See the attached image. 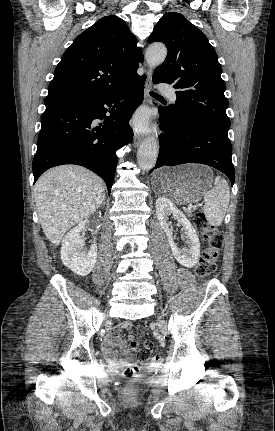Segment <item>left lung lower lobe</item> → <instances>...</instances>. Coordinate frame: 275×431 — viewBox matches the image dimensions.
Instances as JSON below:
<instances>
[{"instance_id": "1", "label": "left lung lower lobe", "mask_w": 275, "mask_h": 431, "mask_svg": "<svg viewBox=\"0 0 275 431\" xmlns=\"http://www.w3.org/2000/svg\"><path fill=\"white\" fill-rule=\"evenodd\" d=\"M159 113L160 129L166 134L160 137V151L154 169L201 163L220 170L234 184L235 170L231 159L232 145L228 138V126L175 116L161 106ZM152 171L153 169L150 172Z\"/></svg>"}]
</instances>
